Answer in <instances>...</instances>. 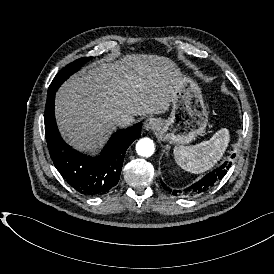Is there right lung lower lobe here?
Wrapping results in <instances>:
<instances>
[{"mask_svg": "<svg viewBox=\"0 0 274 274\" xmlns=\"http://www.w3.org/2000/svg\"><path fill=\"white\" fill-rule=\"evenodd\" d=\"M55 93L47 94L44 113L46 141L55 167L81 194H107L119 181L125 151L140 137L142 123L114 133L100 156L84 155L72 149L60 136L54 115Z\"/></svg>", "mask_w": 274, "mask_h": 274, "instance_id": "98d812e1", "label": "right lung lower lobe"}]
</instances>
